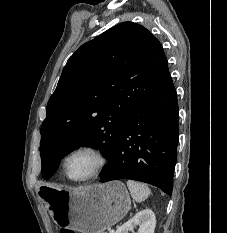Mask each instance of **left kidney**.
Masks as SVG:
<instances>
[{"instance_id": "1", "label": "left kidney", "mask_w": 227, "mask_h": 233, "mask_svg": "<svg viewBox=\"0 0 227 233\" xmlns=\"http://www.w3.org/2000/svg\"><path fill=\"white\" fill-rule=\"evenodd\" d=\"M139 225L137 233H154L156 226L155 214L150 209H145L138 212L133 218L128 222L120 226L116 233H128L133 231V229Z\"/></svg>"}]
</instances>
